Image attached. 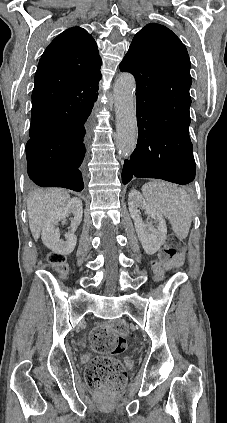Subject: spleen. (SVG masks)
Returning <instances> with one entry per match:
<instances>
[{
  "mask_svg": "<svg viewBox=\"0 0 227 423\" xmlns=\"http://www.w3.org/2000/svg\"><path fill=\"white\" fill-rule=\"evenodd\" d=\"M142 194L150 208L163 213L169 219L179 239L187 237L194 213V206L187 192L170 182L152 180L142 186Z\"/></svg>",
  "mask_w": 227,
  "mask_h": 423,
  "instance_id": "obj_1",
  "label": "spleen"
}]
</instances>
